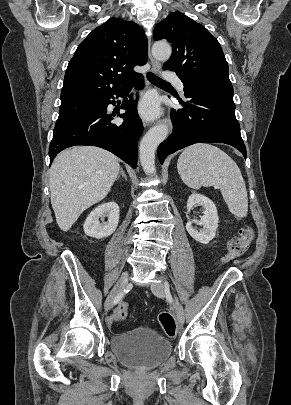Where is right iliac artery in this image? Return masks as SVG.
Masks as SVG:
<instances>
[{
    "instance_id": "obj_1",
    "label": "right iliac artery",
    "mask_w": 291,
    "mask_h": 405,
    "mask_svg": "<svg viewBox=\"0 0 291 405\" xmlns=\"http://www.w3.org/2000/svg\"><path fill=\"white\" fill-rule=\"evenodd\" d=\"M123 298V293H120L114 300V304H117Z\"/></svg>"
}]
</instances>
